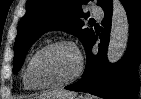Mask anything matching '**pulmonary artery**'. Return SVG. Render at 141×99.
Segmentation results:
<instances>
[{
  "label": "pulmonary artery",
  "instance_id": "1",
  "mask_svg": "<svg viewBox=\"0 0 141 99\" xmlns=\"http://www.w3.org/2000/svg\"><path fill=\"white\" fill-rule=\"evenodd\" d=\"M92 15L97 17V18H101L102 17V11L99 9H93L92 10Z\"/></svg>",
  "mask_w": 141,
  "mask_h": 99
}]
</instances>
